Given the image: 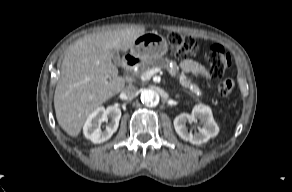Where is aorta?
Instances as JSON below:
<instances>
[{
    "mask_svg": "<svg viewBox=\"0 0 292 192\" xmlns=\"http://www.w3.org/2000/svg\"><path fill=\"white\" fill-rule=\"evenodd\" d=\"M141 101L147 107H154L159 103V95L152 89H146L141 94Z\"/></svg>",
    "mask_w": 292,
    "mask_h": 192,
    "instance_id": "obj_1",
    "label": "aorta"
}]
</instances>
